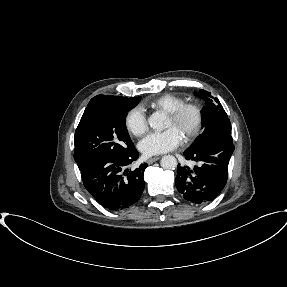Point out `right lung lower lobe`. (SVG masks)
<instances>
[{
  "label": "right lung lower lobe",
  "mask_w": 287,
  "mask_h": 287,
  "mask_svg": "<svg viewBox=\"0 0 287 287\" xmlns=\"http://www.w3.org/2000/svg\"><path fill=\"white\" fill-rule=\"evenodd\" d=\"M137 159L136 149L127 155L96 158L80 169L83 184L107 210L115 212L127 209L140 199L144 190L146 163L134 170L123 171Z\"/></svg>",
  "instance_id": "obj_1"
}]
</instances>
